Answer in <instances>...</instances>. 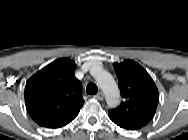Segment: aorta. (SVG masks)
Instances as JSON below:
<instances>
[{
    "mask_svg": "<svg viewBox=\"0 0 188 140\" xmlns=\"http://www.w3.org/2000/svg\"><path fill=\"white\" fill-rule=\"evenodd\" d=\"M98 85L105 94L106 102L110 107H115L119 103V89L113 77L105 71H102L97 78Z\"/></svg>",
    "mask_w": 188,
    "mask_h": 140,
    "instance_id": "762f6f07",
    "label": "aorta"
}]
</instances>
